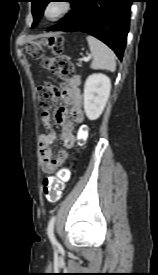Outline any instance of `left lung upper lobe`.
<instances>
[{"mask_svg":"<svg viewBox=\"0 0 158 275\" xmlns=\"http://www.w3.org/2000/svg\"><path fill=\"white\" fill-rule=\"evenodd\" d=\"M31 2H32V13L34 18L32 28H34L40 21L43 15L44 9L47 3L50 2V0H31Z\"/></svg>","mask_w":158,"mask_h":275,"instance_id":"left-lung-upper-lobe-1","label":"left lung upper lobe"}]
</instances>
